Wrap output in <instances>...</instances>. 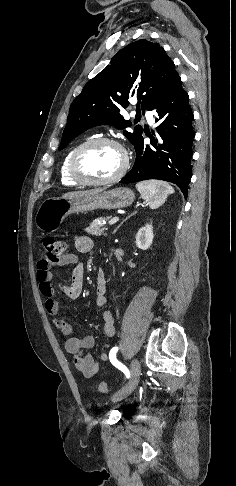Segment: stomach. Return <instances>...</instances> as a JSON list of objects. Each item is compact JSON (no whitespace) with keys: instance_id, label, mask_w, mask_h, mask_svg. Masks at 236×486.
<instances>
[{"instance_id":"stomach-1","label":"stomach","mask_w":236,"mask_h":486,"mask_svg":"<svg viewBox=\"0 0 236 486\" xmlns=\"http://www.w3.org/2000/svg\"><path fill=\"white\" fill-rule=\"evenodd\" d=\"M135 200L134 192L126 187L74 198H49L38 207L35 224L46 233L55 232L62 221L72 213H84L96 209H119L130 206Z\"/></svg>"}]
</instances>
